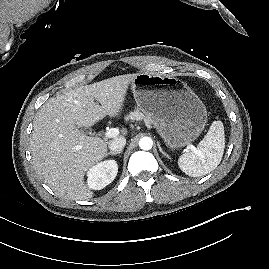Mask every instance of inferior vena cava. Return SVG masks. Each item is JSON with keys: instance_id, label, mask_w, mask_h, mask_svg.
Here are the masks:
<instances>
[{"instance_id": "602c4592", "label": "inferior vena cava", "mask_w": 269, "mask_h": 269, "mask_svg": "<svg viewBox=\"0 0 269 269\" xmlns=\"http://www.w3.org/2000/svg\"><path fill=\"white\" fill-rule=\"evenodd\" d=\"M125 145H126V139L124 137H120L115 138L113 141L109 143L108 146L112 152H118L122 151Z\"/></svg>"}]
</instances>
